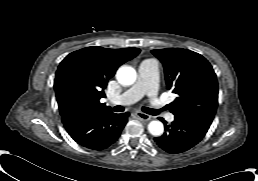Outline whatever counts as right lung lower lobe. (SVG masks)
I'll use <instances>...</instances> for the list:
<instances>
[{
  "mask_svg": "<svg viewBox=\"0 0 258 181\" xmlns=\"http://www.w3.org/2000/svg\"><path fill=\"white\" fill-rule=\"evenodd\" d=\"M129 113L115 114L111 110H79L62 117L70 136L81 146L103 150L114 143L125 124Z\"/></svg>",
  "mask_w": 258,
  "mask_h": 181,
  "instance_id": "obj_1",
  "label": "right lung lower lobe"
}]
</instances>
